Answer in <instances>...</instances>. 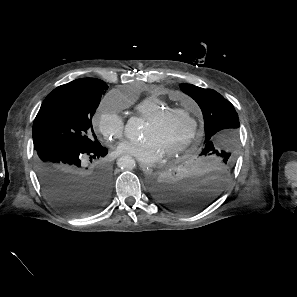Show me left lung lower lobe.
Masks as SVG:
<instances>
[{"mask_svg": "<svg viewBox=\"0 0 297 297\" xmlns=\"http://www.w3.org/2000/svg\"><path fill=\"white\" fill-rule=\"evenodd\" d=\"M233 172V162L218 156L198 155L183 164L177 175L161 176L153 183V192L161 204L178 212L204 210L226 188Z\"/></svg>", "mask_w": 297, "mask_h": 297, "instance_id": "left-lung-lower-lobe-1", "label": "left lung lower lobe"}]
</instances>
